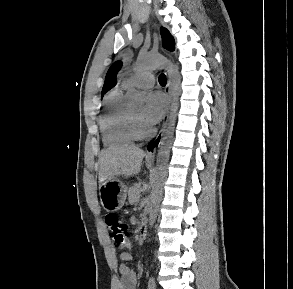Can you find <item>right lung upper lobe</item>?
I'll return each instance as SVG.
<instances>
[{
  "label": "right lung upper lobe",
  "mask_w": 293,
  "mask_h": 289,
  "mask_svg": "<svg viewBox=\"0 0 293 289\" xmlns=\"http://www.w3.org/2000/svg\"><path fill=\"white\" fill-rule=\"evenodd\" d=\"M120 68L121 62H116L110 67L106 75L105 83L102 89V95L106 93L108 90H110L116 84V74Z\"/></svg>",
  "instance_id": "obj_1"
}]
</instances>
